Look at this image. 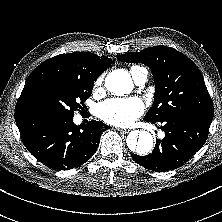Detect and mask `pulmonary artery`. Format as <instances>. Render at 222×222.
I'll list each match as a JSON object with an SVG mask.
<instances>
[{"label":"pulmonary artery","mask_w":222,"mask_h":222,"mask_svg":"<svg viewBox=\"0 0 222 222\" xmlns=\"http://www.w3.org/2000/svg\"><path fill=\"white\" fill-rule=\"evenodd\" d=\"M148 73L146 69H142L138 74L135 75L134 80L137 84L142 85L146 82Z\"/></svg>","instance_id":"pulmonary-artery-1"}]
</instances>
